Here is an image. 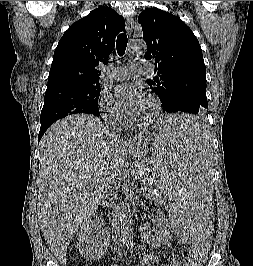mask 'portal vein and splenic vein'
Returning a JSON list of instances; mask_svg holds the SVG:
<instances>
[{
	"mask_svg": "<svg viewBox=\"0 0 253 266\" xmlns=\"http://www.w3.org/2000/svg\"><path fill=\"white\" fill-rule=\"evenodd\" d=\"M144 191H145V193H148V194L151 193V192H149V190H147V187H144Z\"/></svg>",
	"mask_w": 253,
	"mask_h": 266,
	"instance_id": "18ae733b",
	"label": "portal vein and splenic vein"
}]
</instances>
